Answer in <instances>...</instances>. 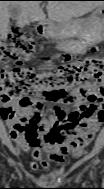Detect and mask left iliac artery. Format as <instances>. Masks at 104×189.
<instances>
[{
	"mask_svg": "<svg viewBox=\"0 0 104 189\" xmlns=\"http://www.w3.org/2000/svg\"><path fill=\"white\" fill-rule=\"evenodd\" d=\"M91 177H93V173L91 172Z\"/></svg>",
	"mask_w": 104,
	"mask_h": 189,
	"instance_id": "left-iliac-artery-1",
	"label": "left iliac artery"
}]
</instances>
